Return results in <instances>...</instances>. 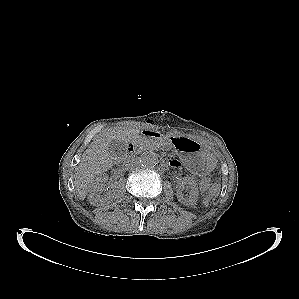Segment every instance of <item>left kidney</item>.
<instances>
[{"label": "left kidney", "mask_w": 299, "mask_h": 299, "mask_svg": "<svg viewBox=\"0 0 299 299\" xmlns=\"http://www.w3.org/2000/svg\"><path fill=\"white\" fill-rule=\"evenodd\" d=\"M185 185H187V188L190 189L189 197H185L182 190L184 189ZM198 186L195 180L191 177H185L182 180L181 185L177 189L176 196L178 198V201L181 202L184 205L187 206H193L196 204L198 199Z\"/></svg>", "instance_id": "obj_1"}]
</instances>
